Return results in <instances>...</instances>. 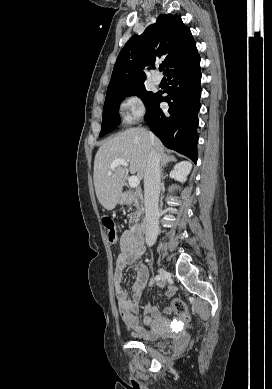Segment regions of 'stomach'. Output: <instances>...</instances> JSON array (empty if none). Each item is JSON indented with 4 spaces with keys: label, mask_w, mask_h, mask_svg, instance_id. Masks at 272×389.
I'll list each match as a JSON object with an SVG mask.
<instances>
[{
    "label": "stomach",
    "mask_w": 272,
    "mask_h": 389,
    "mask_svg": "<svg viewBox=\"0 0 272 389\" xmlns=\"http://www.w3.org/2000/svg\"><path fill=\"white\" fill-rule=\"evenodd\" d=\"M119 203H120V204H124V200L121 199V200L119 201Z\"/></svg>",
    "instance_id": "obj_1"
}]
</instances>
